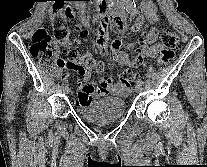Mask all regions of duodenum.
I'll return each instance as SVG.
<instances>
[{"instance_id":"obj_1","label":"duodenum","mask_w":207,"mask_h":167,"mask_svg":"<svg viewBox=\"0 0 207 167\" xmlns=\"http://www.w3.org/2000/svg\"><path fill=\"white\" fill-rule=\"evenodd\" d=\"M97 13L106 16L108 19L125 20V15L115 0H99L97 4Z\"/></svg>"}]
</instances>
